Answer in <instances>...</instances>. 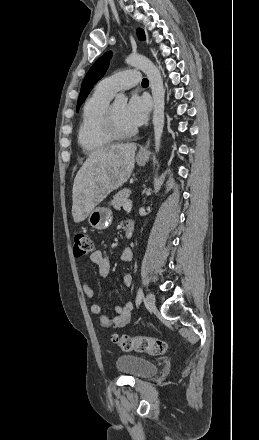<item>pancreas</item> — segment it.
Segmentation results:
<instances>
[{
    "mask_svg": "<svg viewBox=\"0 0 259 440\" xmlns=\"http://www.w3.org/2000/svg\"><path fill=\"white\" fill-rule=\"evenodd\" d=\"M130 189H122L117 194L114 195L113 200L111 201L112 206L116 210H121V207L124 206L126 202H128V197L130 196Z\"/></svg>",
    "mask_w": 259,
    "mask_h": 440,
    "instance_id": "1",
    "label": "pancreas"
}]
</instances>
